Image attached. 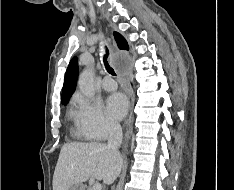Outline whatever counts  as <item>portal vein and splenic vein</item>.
Returning <instances> with one entry per match:
<instances>
[{
    "label": "portal vein and splenic vein",
    "instance_id": "obj_1",
    "mask_svg": "<svg viewBox=\"0 0 234 190\" xmlns=\"http://www.w3.org/2000/svg\"><path fill=\"white\" fill-rule=\"evenodd\" d=\"M92 190H102V185L100 183H95Z\"/></svg>",
    "mask_w": 234,
    "mask_h": 190
}]
</instances>
